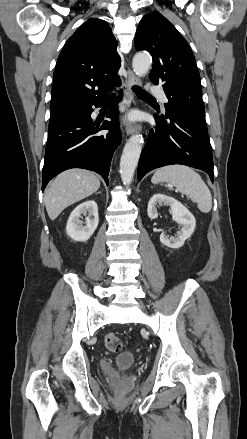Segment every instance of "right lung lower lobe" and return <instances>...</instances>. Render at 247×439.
I'll return each instance as SVG.
<instances>
[{
  "instance_id": "obj_1",
  "label": "right lung lower lobe",
  "mask_w": 247,
  "mask_h": 439,
  "mask_svg": "<svg viewBox=\"0 0 247 439\" xmlns=\"http://www.w3.org/2000/svg\"><path fill=\"white\" fill-rule=\"evenodd\" d=\"M105 99L77 106L67 115L49 123L42 191L53 177L70 168L95 171L109 184L107 178L112 155L121 142V133L117 127V102L110 106L106 114L111 121L93 122L91 119L92 105L102 106ZM102 130L108 132L99 133Z\"/></svg>"
}]
</instances>
